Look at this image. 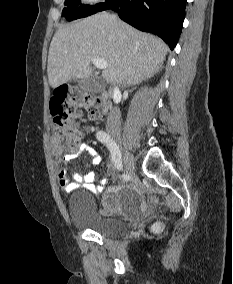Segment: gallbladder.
<instances>
[{
  "label": "gallbladder",
  "instance_id": "gallbladder-1",
  "mask_svg": "<svg viewBox=\"0 0 233 284\" xmlns=\"http://www.w3.org/2000/svg\"><path fill=\"white\" fill-rule=\"evenodd\" d=\"M75 89L79 93H99L102 91L103 87L102 84L97 76L91 75L90 77L78 81Z\"/></svg>",
  "mask_w": 233,
  "mask_h": 284
}]
</instances>
